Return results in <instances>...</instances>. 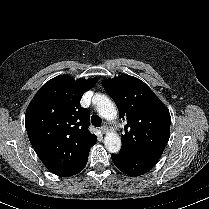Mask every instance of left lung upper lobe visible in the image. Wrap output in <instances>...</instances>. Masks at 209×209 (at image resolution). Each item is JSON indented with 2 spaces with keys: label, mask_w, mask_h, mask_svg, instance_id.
<instances>
[{
  "label": "left lung upper lobe",
  "mask_w": 209,
  "mask_h": 209,
  "mask_svg": "<svg viewBox=\"0 0 209 209\" xmlns=\"http://www.w3.org/2000/svg\"><path fill=\"white\" fill-rule=\"evenodd\" d=\"M102 84L117 103L120 118L127 120L120 152L159 160L170 137L171 117L166 106L133 76L123 74Z\"/></svg>",
  "instance_id": "obj_1"
}]
</instances>
